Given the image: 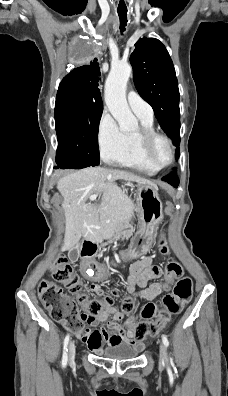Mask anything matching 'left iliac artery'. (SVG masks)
Wrapping results in <instances>:
<instances>
[{"label": "left iliac artery", "mask_w": 228, "mask_h": 396, "mask_svg": "<svg viewBox=\"0 0 228 396\" xmlns=\"http://www.w3.org/2000/svg\"><path fill=\"white\" fill-rule=\"evenodd\" d=\"M162 341H163L165 347H168L169 341H168V339H167V337L165 335H162Z\"/></svg>", "instance_id": "left-iliac-artery-1"}]
</instances>
